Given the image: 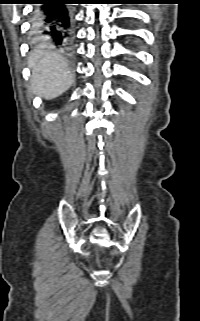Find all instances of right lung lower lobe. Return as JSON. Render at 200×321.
<instances>
[{
  "mask_svg": "<svg viewBox=\"0 0 200 321\" xmlns=\"http://www.w3.org/2000/svg\"><path fill=\"white\" fill-rule=\"evenodd\" d=\"M73 0H34V26L49 35L57 45L69 47L72 42L71 10Z\"/></svg>",
  "mask_w": 200,
  "mask_h": 321,
  "instance_id": "1",
  "label": "right lung lower lobe"
}]
</instances>
